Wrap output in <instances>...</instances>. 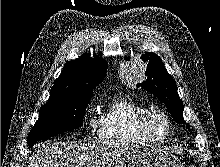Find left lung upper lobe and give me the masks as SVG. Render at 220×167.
<instances>
[{
  "mask_svg": "<svg viewBox=\"0 0 220 167\" xmlns=\"http://www.w3.org/2000/svg\"><path fill=\"white\" fill-rule=\"evenodd\" d=\"M124 59L129 60L128 57ZM141 59L148 62V66L145 72L146 79L138 86L158 97L168 108L176 122L185 124L183 102L178 95L175 81L167 72L162 60L156 54L151 53H146ZM187 128H189V125H187Z\"/></svg>",
  "mask_w": 220,
  "mask_h": 167,
  "instance_id": "1",
  "label": "left lung upper lobe"
}]
</instances>
